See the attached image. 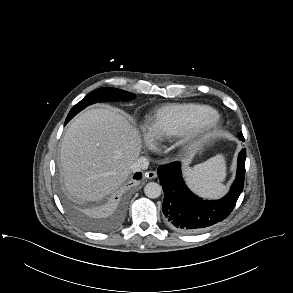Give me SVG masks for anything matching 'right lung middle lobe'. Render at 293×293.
Here are the masks:
<instances>
[{"mask_svg": "<svg viewBox=\"0 0 293 293\" xmlns=\"http://www.w3.org/2000/svg\"><path fill=\"white\" fill-rule=\"evenodd\" d=\"M135 98V95L124 90L116 88H99L89 93L84 99L77 103L69 112L65 124L72 119L77 113L83 110L85 107L97 103V102H116V101H130ZM95 228V226L90 225Z\"/></svg>", "mask_w": 293, "mask_h": 293, "instance_id": "1", "label": "right lung middle lobe"}]
</instances>
